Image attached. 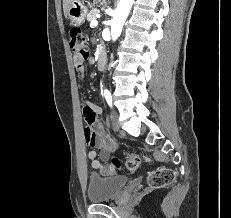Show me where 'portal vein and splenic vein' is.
<instances>
[{
	"label": "portal vein and splenic vein",
	"mask_w": 231,
	"mask_h": 218,
	"mask_svg": "<svg viewBox=\"0 0 231 218\" xmlns=\"http://www.w3.org/2000/svg\"><path fill=\"white\" fill-rule=\"evenodd\" d=\"M97 25H98V21H96V20H93V21H91V23H90V26H91V27L97 26Z\"/></svg>",
	"instance_id": "portal-vein-and-splenic-vein-1"
}]
</instances>
